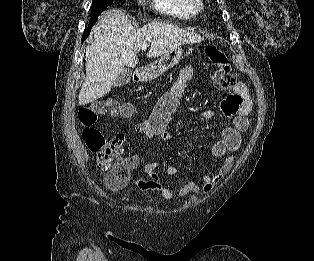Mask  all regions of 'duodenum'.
Segmentation results:
<instances>
[{
	"label": "duodenum",
	"instance_id": "obj_1",
	"mask_svg": "<svg viewBox=\"0 0 314 261\" xmlns=\"http://www.w3.org/2000/svg\"><path fill=\"white\" fill-rule=\"evenodd\" d=\"M135 80L138 81V82H141L143 80V73L142 72H138L135 75Z\"/></svg>",
	"mask_w": 314,
	"mask_h": 261
}]
</instances>
